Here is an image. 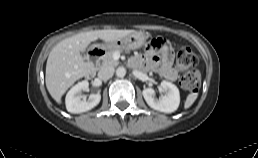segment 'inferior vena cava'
Returning <instances> with one entry per match:
<instances>
[{
	"label": "inferior vena cava",
	"instance_id": "1",
	"mask_svg": "<svg viewBox=\"0 0 258 158\" xmlns=\"http://www.w3.org/2000/svg\"><path fill=\"white\" fill-rule=\"evenodd\" d=\"M114 71V68L111 66H103L98 72V77L101 80H108L113 76Z\"/></svg>",
	"mask_w": 258,
	"mask_h": 158
}]
</instances>
